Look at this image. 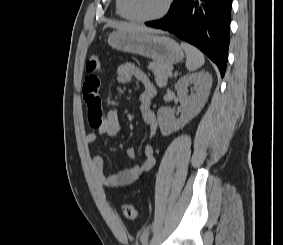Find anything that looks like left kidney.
I'll use <instances>...</instances> for the list:
<instances>
[{
  "label": "left kidney",
  "mask_w": 283,
  "mask_h": 245,
  "mask_svg": "<svg viewBox=\"0 0 283 245\" xmlns=\"http://www.w3.org/2000/svg\"><path fill=\"white\" fill-rule=\"evenodd\" d=\"M211 86L212 76L208 72L201 71L183 76L175 85L182 107L181 116L176 119L171 108L161 107L157 112L161 134L168 136L178 131L198 115L208 99ZM188 87H191L190 95Z\"/></svg>",
  "instance_id": "5707ae66"
}]
</instances>
